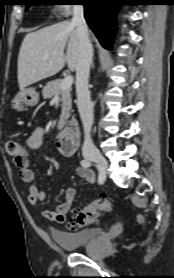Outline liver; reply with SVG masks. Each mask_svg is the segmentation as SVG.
Segmentation results:
<instances>
[{
  "label": "liver",
  "instance_id": "6515ba94",
  "mask_svg": "<svg viewBox=\"0 0 174 278\" xmlns=\"http://www.w3.org/2000/svg\"><path fill=\"white\" fill-rule=\"evenodd\" d=\"M78 57V32L76 26L69 21L28 33L23 39L18 55L20 90L55 75L65 63L71 71H75Z\"/></svg>",
  "mask_w": 174,
  "mask_h": 278
}]
</instances>
